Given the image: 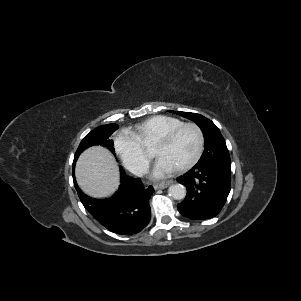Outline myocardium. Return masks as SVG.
Returning a JSON list of instances; mask_svg holds the SVG:
<instances>
[{
	"instance_id": "myocardium-1",
	"label": "myocardium",
	"mask_w": 301,
	"mask_h": 301,
	"mask_svg": "<svg viewBox=\"0 0 301 301\" xmlns=\"http://www.w3.org/2000/svg\"><path fill=\"white\" fill-rule=\"evenodd\" d=\"M187 127L193 128L197 134V148L194 155L187 162L177 167L180 171L190 168L199 160L204 148V135L202 129L196 123L185 122L160 135L156 139V142L169 143L179 134L180 131Z\"/></svg>"
}]
</instances>
